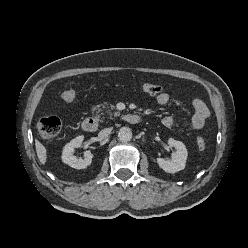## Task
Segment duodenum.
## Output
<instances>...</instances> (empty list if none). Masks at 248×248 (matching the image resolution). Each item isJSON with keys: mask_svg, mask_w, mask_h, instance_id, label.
I'll return each mask as SVG.
<instances>
[{"mask_svg": "<svg viewBox=\"0 0 248 248\" xmlns=\"http://www.w3.org/2000/svg\"><path fill=\"white\" fill-rule=\"evenodd\" d=\"M121 119L129 124H137L141 122L142 117L137 114L126 113L121 116ZM100 124V119L97 116L90 115L82 121L81 128L85 132L92 133L98 130Z\"/></svg>", "mask_w": 248, "mask_h": 248, "instance_id": "obj_1", "label": "duodenum"}]
</instances>
